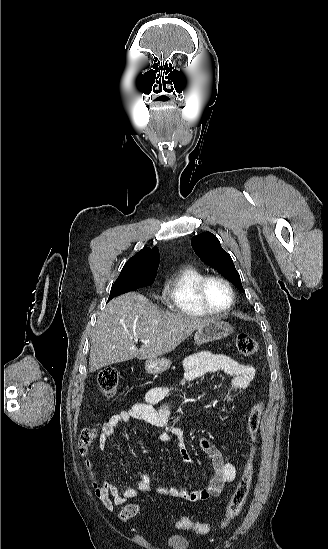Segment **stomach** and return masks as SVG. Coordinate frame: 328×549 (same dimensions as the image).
Listing matches in <instances>:
<instances>
[{"mask_svg": "<svg viewBox=\"0 0 328 549\" xmlns=\"http://www.w3.org/2000/svg\"><path fill=\"white\" fill-rule=\"evenodd\" d=\"M233 333V327L225 321L220 319H210L206 325L199 327L194 335V341L197 345H203V343H211V341H219V339H225L228 335ZM171 367L170 359L165 357H156V359H147L145 363V371L149 375H160Z\"/></svg>", "mask_w": 328, "mask_h": 549, "instance_id": "stomach-1", "label": "stomach"}]
</instances>
